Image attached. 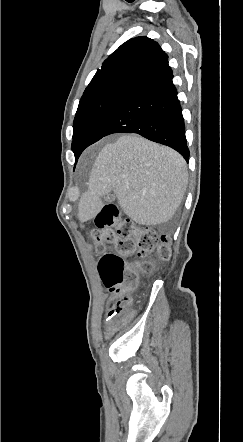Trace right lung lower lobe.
<instances>
[{
	"instance_id": "1",
	"label": "right lung lower lobe",
	"mask_w": 243,
	"mask_h": 442,
	"mask_svg": "<svg viewBox=\"0 0 243 442\" xmlns=\"http://www.w3.org/2000/svg\"><path fill=\"white\" fill-rule=\"evenodd\" d=\"M172 79L169 68L132 90L101 122L88 146L113 133H136L175 149L188 162L184 118Z\"/></svg>"
}]
</instances>
